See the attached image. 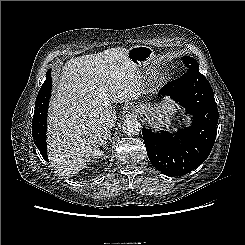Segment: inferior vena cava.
Segmentation results:
<instances>
[{"mask_svg":"<svg viewBox=\"0 0 245 245\" xmlns=\"http://www.w3.org/2000/svg\"><path fill=\"white\" fill-rule=\"evenodd\" d=\"M100 117H101L103 125L107 129H111L112 127H114V125L116 123V115H115V112L113 110L108 109V108L101 109Z\"/></svg>","mask_w":245,"mask_h":245,"instance_id":"obj_1","label":"inferior vena cava"}]
</instances>
